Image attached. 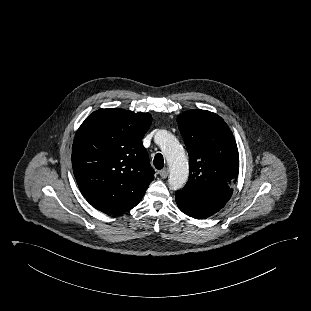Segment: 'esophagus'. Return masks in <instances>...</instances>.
<instances>
[{
  "label": "esophagus",
  "instance_id": "obj_1",
  "mask_svg": "<svg viewBox=\"0 0 311 311\" xmlns=\"http://www.w3.org/2000/svg\"><path fill=\"white\" fill-rule=\"evenodd\" d=\"M168 173H169V170L167 168L159 171V175L162 177V178H166L168 176Z\"/></svg>",
  "mask_w": 311,
  "mask_h": 311
}]
</instances>
